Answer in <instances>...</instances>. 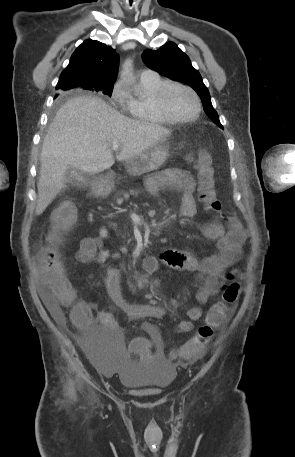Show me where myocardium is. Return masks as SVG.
<instances>
[{
    "mask_svg": "<svg viewBox=\"0 0 295 457\" xmlns=\"http://www.w3.org/2000/svg\"><path fill=\"white\" fill-rule=\"evenodd\" d=\"M173 87H178L187 90L194 98L195 104H196V109L195 112L188 117H176L174 116L168 109L166 105V96L168 91L173 88ZM155 103L157 106L158 111L169 121L173 123H185V122H190L198 118L200 115L202 105H201V100L198 96V94L195 92L193 88L190 86H187L185 84L179 83V82H174V81H167L164 84H162L159 89L157 90L155 94Z\"/></svg>",
    "mask_w": 295,
    "mask_h": 457,
    "instance_id": "1",
    "label": "myocardium"
}]
</instances>
